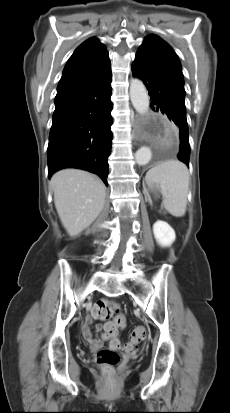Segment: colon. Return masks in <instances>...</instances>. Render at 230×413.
<instances>
[{"label": "colon", "instance_id": "colon-1", "mask_svg": "<svg viewBox=\"0 0 230 413\" xmlns=\"http://www.w3.org/2000/svg\"><path fill=\"white\" fill-rule=\"evenodd\" d=\"M120 306L115 301L100 300L93 307V315L96 319L108 321L115 320L119 314ZM111 320V321H112ZM146 336V330L143 327H137L133 330L129 342L125 349L127 352H132ZM110 347L100 350L96 355V363L101 366L108 374L119 363L120 356L116 349L120 346V342L116 338V333L113 329L109 331Z\"/></svg>", "mask_w": 230, "mask_h": 413}]
</instances>
